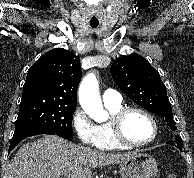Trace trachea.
<instances>
[{
    "mask_svg": "<svg viewBox=\"0 0 194 178\" xmlns=\"http://www.w3.org/2000/svg\"><path fill=\"white\" fill-rule=\"evenodd\" d=\"M98 23H90V26L92 27V28H97L98 27Z\"/></svg>",
    "mask_w": 194,
    "mask_h": 178,
    "instance_id": "trachea-1",
    "label": "trachea"
}]
</instances>
